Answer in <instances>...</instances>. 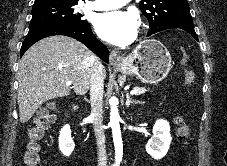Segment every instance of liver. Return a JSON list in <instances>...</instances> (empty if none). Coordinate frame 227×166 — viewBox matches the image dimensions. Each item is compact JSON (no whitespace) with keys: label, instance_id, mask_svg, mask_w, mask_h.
Here are the masks:
<instances>
[{"label":"liver","instance_id":"1","mask_svg":"<svg viewBox=\"0 0 227 166\" xmlns=\"http://www.w3.org/2000/svg\"><path fill=\"white\" fill-rule=\"evenodd\" d=\"M97 60L85 45L67 36L47 37L30 47L19 66L20 122L31 119L44 102L70 95L67 81L77 95H85Z\"/></svg>","mask_w":227,"mask_h":166}]
</instances>
